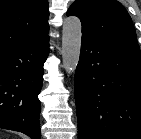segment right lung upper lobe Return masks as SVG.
<instances>
[{
  "mask_svg": "<svg viewBox=\"0 0 141 139\" xmlns=\"http://www.w3.org/2000/svg\"><path fill=\"white\" fill-rule=\"evenodd\" d=\"M47 0H0V52L47 36Z\"/></svg>",
  "mask_w": 141,
  "mask_h": 139,
  "instance_id": "cb5924a9",
  "label": "right lung upper lobe"
}]
</instances>
